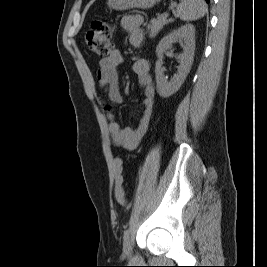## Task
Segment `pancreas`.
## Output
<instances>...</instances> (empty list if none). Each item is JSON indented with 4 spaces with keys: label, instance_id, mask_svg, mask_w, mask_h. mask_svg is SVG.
I'll use <instances>...</instances> for the list:
<instances>
[{
    "label": "pancreas",
    "instance_id": "pancreas-1",
    "mask_svg": "<svg viewBox=\"0 0 267 267\" xmlns=\"http://www.w3.org/2000/svg\"><path fill=\"white\" fill-rule=\"evenodd\" d=\"M172 21V19L168 20L166 17L163 16H159L156 19H152L147 26V30L149 31V37H155L164 25H167Z\"/></svg>",
    "mask_w": 267,
    "mask_h": 267
}]
</instances>
